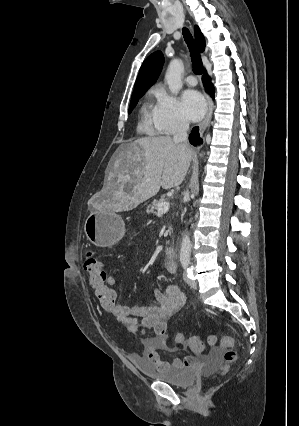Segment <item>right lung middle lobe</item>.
Returning a JSON list of instances; mask_svg holds the SVG:
<instances>
[{
  "instance_id": "obj_1",
  "label": "right lung middle lobe",
  "mask_w": 299,
  "mask_h": 426,
  "mask_svg": "<svg viewBox=\"0 0 299 426\" xmlns=\"http://www.w3.org/2000/svg\"><path fill=\"white\" fill-rule=\"evenodd\" d=\"M145 93V91H139V92H134L132 94V98H131V102H130V107H129V113L133 110V108L136 106L138 99L140 97L143 96V94Z\"/></svg>"
}]
</instances>
